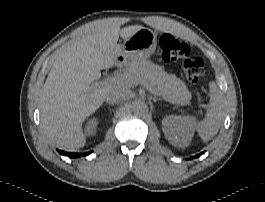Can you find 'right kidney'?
Here are the masks:
<instances>
[{
    "label": "right kidney",
    "mask_w": 265,
    "mask_h": 202,
    "mask_svg": "<svg viewBox=\"0 0 265 202\" xmlns=\"http://www.w3.org/2000/svg\"><path fill=\"white\" fill-rule=\"evenodd\" d=\"M98 125V119L97 118H92L88 121L87 126H86V132L88 134H93L97 128Z\"/></svg>",
    "instance_id": "ca27d5eb"
}]
</instances>
